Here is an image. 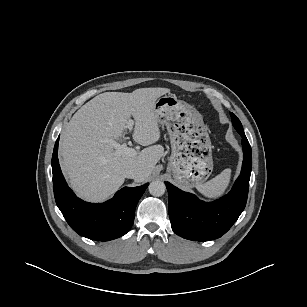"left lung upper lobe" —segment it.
<instances>
[{"mask_svg": "<svg viewBox=\"0 0 307 307\" xmlns=\"http://www.w3.org/2000/svg\"><path fill=\"white\" fill-rule=\"evenodd\" d=\"M231 117H232V123L235 129L239 132L240 135H245L242 124L239 121V119L233 113H231Z\"/></svg>", "mask_w": 307, "mask_h": 307, "instance_id": "obj_1", "label": "left lung upper lobe"}]
</instances>
